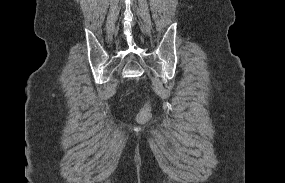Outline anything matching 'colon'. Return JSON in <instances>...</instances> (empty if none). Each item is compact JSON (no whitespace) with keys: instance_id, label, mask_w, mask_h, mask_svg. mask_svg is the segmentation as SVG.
<instances>
[{"instance_id":"colon-1","label":"colon","mask_w":285,"mask_h":183,"mask_svg":"<svg viewBox=\"0 0 285 183\" xmlns=\"http://www.w3.org/2000/svg\"><path fill=\"white\" fill-rule=\"evenodd\" d=\"M151 117V110L149 107H144L137 115V120L140 123H145L147 121H149Z\"/></svg>"}]
</instances>
